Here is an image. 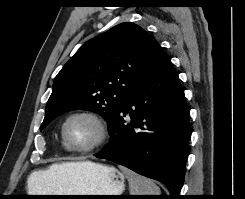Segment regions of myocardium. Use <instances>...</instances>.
<instances>
[{"label": "myocardium", "mask_w": 245, "mask_h": 199, "mask_svg": "<svg viewBox=\"0 0 245 199\" xmlns=\"http://www.w3.org/2000/svg\"><path fill=\"white\" fill-rule=\"evenodd\" d=\"M77 117H84V118L91 120L98 129L97 139L95 140L94 143H92L89 146L76 147L73 144H71V142L68 139L67 126L72 119L77 118ZM61 135H62L64 144L70 151L76 152L79 154H89V153H92L98 150L107 142L109 138V129H108V126L105 120L97 113L90 111V110H77V111L70 113L65 118L62 124V127H61Z\"/></svg>", "instance_id": "obj_1"}]
</instances>
